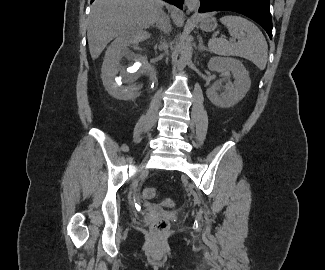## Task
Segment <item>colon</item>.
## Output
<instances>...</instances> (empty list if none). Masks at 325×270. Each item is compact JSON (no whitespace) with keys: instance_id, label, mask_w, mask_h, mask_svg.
I'll list each match as a JSON object with an SVG mask.
<instances>
[{"instance_id":"1","label":"colon","mask_w":325,"mask_h":270,"mask_svg":"<svg viewBox=\"0 0 325 270\" xmlns=\"http://www.w3.org/2000/svg\"><path fill=\"white\" fill-rule=\"evenodd\" d=\"M143 196L146 199H153L157 196V191L155 188L147 187L143 191ZM163 204L167 207L173 206V201L166 199L163 201ZM169 229V222L167 219L161 218L156 220L152 225V230L156 233H165Z\"/></svg>"}]
</instances>
